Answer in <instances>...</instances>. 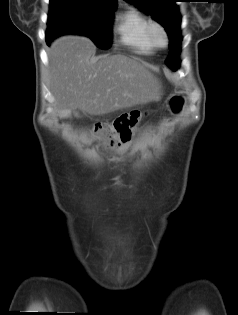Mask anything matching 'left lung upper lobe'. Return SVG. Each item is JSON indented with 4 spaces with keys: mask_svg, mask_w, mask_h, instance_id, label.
<instances>
[{
    "mask_svg": "<svg viewBox=\"0 0 238 315\" xmlns=\"http://www.w3.org/2000/svg\"><path fill=\"white\" fill-rule=\"evenodd\" d=\"M142 11L151 14L167 31L169 38L180 35L181 16L176 0H127ZM169 53L166 63L174 70L179 67L178 61Z\"/></svg>",
    "mask_w": 238,
    "mask_h": 315,
    "instance_id": "obj_1",
    "label": "left lung upper lobe"
}]
</instances>
